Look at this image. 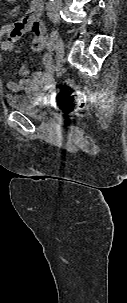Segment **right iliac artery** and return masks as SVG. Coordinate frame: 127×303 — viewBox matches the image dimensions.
Instances as JSON below:
<instances>
[{
    "instance_id": "right-iliac-artery-1",
    "label": "right iliac artery",
    "mask_w": 127,
    "mask_h": 303,
    "mask_svg": "<svg viewBox=\"0 0 127 303\" xmlns=\"http://www.w3.org/2000/svg\"><path fill=\"white\" fill-rule=\"evenodd\" d=\"M47 48L49 51H53L55 49V44L53 41H48Z\"/></svg>"
}]
</instances>
